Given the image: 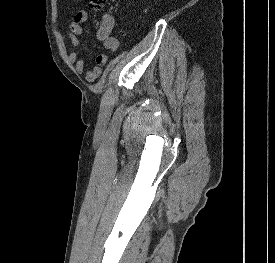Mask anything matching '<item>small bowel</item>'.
Listing matches in <instances>:
<instances>
[{"label":"small bowel","instance_id":"small-bowel-1","mask_svg":"<svg viewBox=\"0 0 275 263\" xmlns=\"http://www.w3.org/2000/svg\"><path fill=\"white\" fill-rule=\"evenodd\" d=\"M88 14L84 10L78 11L73 21L69 25V39L73 47L77 48L80 46V36L83 31V24L87 21ZM114 26V20L111 17H107L103 22L102 26L97 32V38L103 42L105 48L110 52H116L120 47L119 40L111 35V31ZM69 62L75 66V70L78 74H83L85 72V79L87 82L92 83L102 73V67L107 64V55L98 54L95 57L94 65L85 71V61L79 55L78 52H71L68 56Z\"/></svg>","mask_w":275,"mask_h":263}]
</instances>
